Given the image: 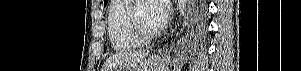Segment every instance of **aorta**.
I'll return each instance as SVG.
<instances>
[{
	"label": "aorta",
	"instance_id": "762f6f07",
	"mask_svg": "<svg viewBox=\"0 0 301 71\" xmlns=\"http://www.w3.org/2000/svg\"><path fill=\"white\" fill-rule=\"evenodd\" d=\"M188 0H178L177 1V11L179 14V21L181 22L182 20H184L185 16H186V10H187V4H188Z\"/></svg>",
	"mask_w": 301,
	"mask_h": 71
}]
</instances>
